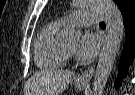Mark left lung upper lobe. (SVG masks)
<instances>
[{"label": "left lung upper lobe", "instance_id": "obj_1", "mask_svg": "<svg viewBox=\"0 0 135 95\" xmlns=\"http://www.w3.org/2000/svg\"><path fill=\"white\" fill-rule=\"evenodd\" d=\"M114 2L117 4L118 8L122 12L130 8L135 2V0H114Z\"/></svg>", "mask_w": 135, "mask_h": 95}]
</instances>
